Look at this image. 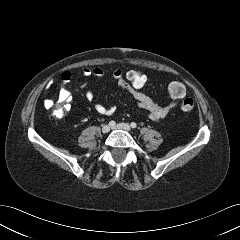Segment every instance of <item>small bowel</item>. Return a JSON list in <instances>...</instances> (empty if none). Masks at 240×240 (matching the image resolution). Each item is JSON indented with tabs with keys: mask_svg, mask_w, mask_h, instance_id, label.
Listing matches in <instances>:
<instances>
[{
	"mask_svg": "<svg viewBox=\"0 0 240 240\" xmlns=\"http://www.w3.org/2000/svg\"><path fill=\"white\" fill-rule=\"evenodd\" d=\"M80 74L89 79L94 78L95 80H99L104 76V69L101 66H96L93 68L89 67H83L80 70ZM112 79L113 81L118 84L124 92L131 98V100L140 108L146 110L148 112V117L152 121H162L166 118V116L169 114L170 111H172L174 108L178 105V100L171 99V101L164 105H158L155 103L151 98H149L147 95H145L143 92L137 91L133 89L126 81L125 79V72L121 68H116L112 73ZM88 86V82H84L81 84V88H86ZM65 96L67 98L68 104L71 100L70 94L68 92H65ZM85 98L88 101H92L94 99V92L91 89H88L85 93ZM44 105L46 108H50L53 105V102L50 99H46L44 101ZM69 107V105H68ZM94 109L97 113L101 115L110 116L115 113L116 107L110 106L106 107L102 104H95Z\"/></svg>",
	"mask_w": 240,
	"mask_h": 240,
	"instance_id": "1",
	"label": "small bowel"
}]
</instances>
